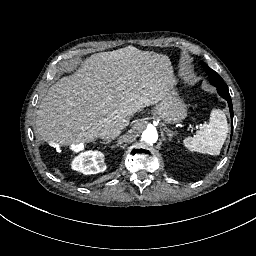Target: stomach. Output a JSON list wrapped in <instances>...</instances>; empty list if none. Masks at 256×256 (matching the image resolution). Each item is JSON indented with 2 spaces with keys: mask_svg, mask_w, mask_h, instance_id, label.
Here are the masks:
<instances>
[{
  "mask_svg": "<svg viewBox=\"0 0 256 256\" xmlns=\"http://www.w3.org/2000/svg\"><path fill=\"white\" fill-rule=\"evenodd\" d=\"M152 114L170 124L179 123L187 117V105L180 98L175 85L165 87L164 95Z\"/></svg>",
  "mask_w": 256,
  "mask_h": 256,
  "instance_id": "obj_1",
  "label": "stomach"
}]
</instances>
